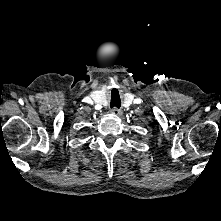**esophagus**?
<instances>
[{"label":"esophagus","mask_w":221,"mask_h":221,"mask_svg":"<svg viewBox=\"0 0 221 221\" xmlns=\"http://www.w3.org/2000/svg\"><path fill=\"white\" fill-rule=\"evenodd\" d=\"M112 113L114 115H121L122 114V110L115 107V108L112 109Z\"/></svg>","instance_id":"obj_1"}]
</instances>
